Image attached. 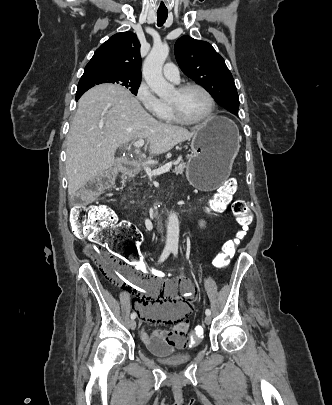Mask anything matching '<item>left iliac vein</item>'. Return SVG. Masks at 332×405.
Returning a JSON list of instances; mask_svg holds the SVG:
<instances>
[{
	"instance_id": "1",
	"label": "left iliac vein",
	"mask_w": 332,
	"mask_h": 405,
	"mask_svg": "<svg viewBox=\"0 0 332 405\" xmlns=\"http://www.w3.org/2000/svg\"><path fill=\"white\" fill-rule=\"evenodd\" d=\"M205 324L209 325L211 323V317L210 316H206L204 319Z\"/></svg>"
}]
</instances>
